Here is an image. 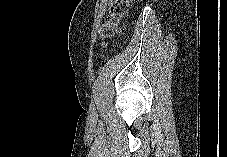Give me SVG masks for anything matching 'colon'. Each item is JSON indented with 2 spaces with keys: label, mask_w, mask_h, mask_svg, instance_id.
Segmentation results:
<instances>
[{
  "label": "colon",
  "mask_w": 227,
  "mask_h": 157,
  "mask_svg": "<svg viewBox=\"0 0 227 157\" xmlns=\"http://www.w3.org/2000/svg\"><path fill=\"white\" fill-rule=\"evenodd\" d=\"M130 2L131 0H113L109 15L99 28V36L102 45L105 44L106 40L114 37L116 34L120 21L127 12Z\"/></svg>",
  "instance_id": "1"
}]
</instances>
